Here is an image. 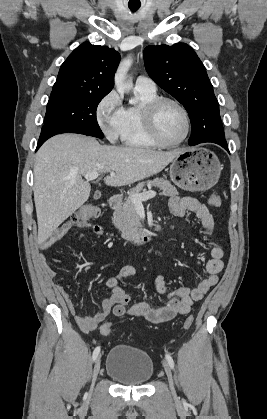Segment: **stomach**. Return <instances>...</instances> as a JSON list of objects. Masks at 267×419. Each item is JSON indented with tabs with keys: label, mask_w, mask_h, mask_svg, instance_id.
I'll list each match as a JSON object with an SVG mask.
<instances>
[{
	"label": "stomach",
	"mask_w": 267,
	"mask_h": 419,
	"mask_svg": "<svg viewBox=\"0 0 267 419\" xmlns=\"http://www.w3.org/2000/svg\"><path fill=\"white\" fill-rule=\"evenodd\" d=\"M222 170L218 157L205 148L183 150L173 159L170 178L181 189L205 191L213 187Z\"/></svg>",
	"instance_id": "obj_1"
}]
</instances>
